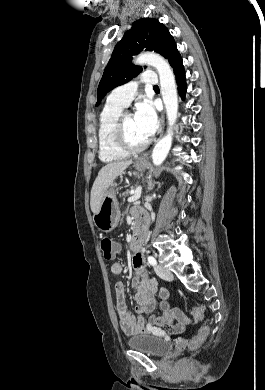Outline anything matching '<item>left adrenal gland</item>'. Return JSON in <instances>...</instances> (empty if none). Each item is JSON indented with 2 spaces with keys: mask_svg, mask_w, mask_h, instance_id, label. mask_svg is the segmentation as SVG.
I'll return each instance as SVG.
<instances>
[{
  "mask_svg": "<svg viewBox=\"0 0 265 390\" xmlns=\"http://www.w3.org/2000/svg\"><path fill=\"white\" fill-rule=\"evenodd\" d=\"M155 186V183L152 182V179L150 178L149 179V183H148V191H151Z\"/></svg>",
  "mask_w": 265,
  "mask_h": 390,
  "instance_id": "1",
  "label": "left adrenal gland"
}]
</instances>
